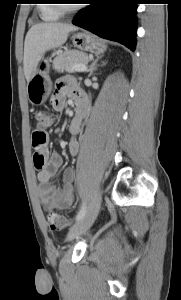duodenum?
I'll use <instances>...</instances> for the list:
<instances>
[{
    "instance_id": "duodenum-1",
    "label": "duodenum",
    "mask_w": 181,
    "mask_h": 300,
    "mask_svg": "<svg viewBox=\"0 0 181 300\" xmlns=\"http://www.w3.org/2000/svg\"><path fill=\"white\" fill-rule=\"evenodd\" d=\"M82 110H83V108H82L81 105H77V106H76V113H77V114H80V113L82 112Z\"/></svg>"
}]
</instances>
